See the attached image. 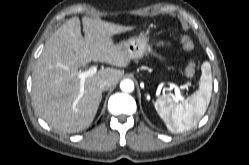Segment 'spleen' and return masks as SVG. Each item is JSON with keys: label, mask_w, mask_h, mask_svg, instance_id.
I'll list each match as a JSON object with an SVG mask.
<instances>
[{"label": "spleen", "mask_w": 249, "mask_h": 165, "mask_svg": "<svg viewBox=\"0 0 249 165\" xmlns=\"http://www.w3.org/2000/svg\"><path fill=\"white\" fill-rule=\"evenodd\" d=\"M199 89L183 103L175 104L169 96H161L154 103L159 116L173 133L192 129L205 114L212 94V73L208 61L201 66Z\"/></svg>", "instance_id": "obj_1"}]
</instances>
